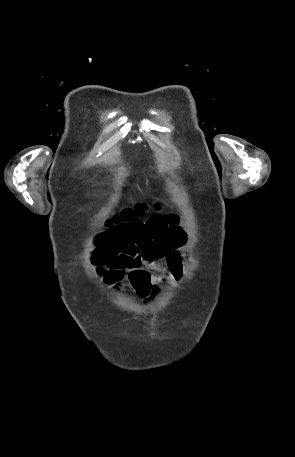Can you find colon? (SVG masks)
<instances>
[{
    "label": "colon",
    "instance_id": "5ec220e1",
    "mask_svg": "<svg viewBox=\"0 0 295 457\" xmlns=\"http://www.w3.org/2000/svg\"><path fill=\"white\" fill-rule=\"evenodd\" d=\"M146 210L147 206L145 204L138 203L133 208H126L119 214H115L110 220V223L130 224L136 217L142 216ZM139 252L140 250L135 246H128L121 253L107 255L100 262L101 267L99 268V272L108 277L109 280H121L129 269L135 268L140 264L137 256Z\"/></svg>",
    "mask_w": 295,
    "mask_h": 457
}]
</instances>
